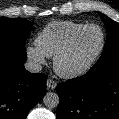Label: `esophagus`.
Segmentation results:
<instances>
[{"mask_svg":"<svg viewBox=\"0 0 119 119\" xmlns=\"http://www.w3.org/2000/svg\"><path fill=\"white\" fill-rule=\"evenodd\" d=\"M46 86H47L48 89L53 90V89L56 88L57 83L53 79H48L47 82H46Z\"/></svg>","mask_w":119,"mask_h":119,"instance_id":"1","label":"esophagus"}]
</instances>
